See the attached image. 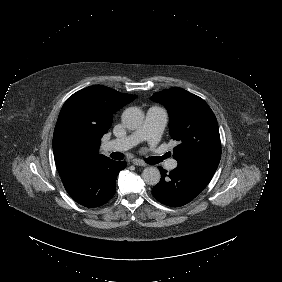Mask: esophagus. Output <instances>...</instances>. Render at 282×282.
<instances>
[{
  "instance_id": "34e87169",
  "label": "esophagus",
  "mask_w": 282,
  "mask_h": 282,
  "mask_svg": "<svg viewBox=\"0 0 282 282\" xmlns=\"http://www.w3.org/2000/svg\"><path fill=\"white\" fill-rule=\"evenodd\" d=\"M132 163L134 165H136V166H141V167H145L146 166V164L142 160H140V159H133Z\"/></svg>"
}]
</instances>
